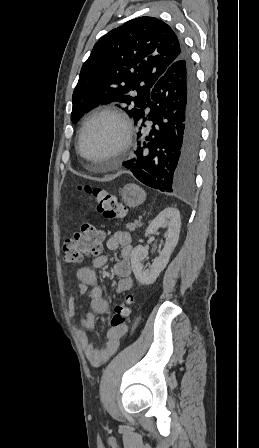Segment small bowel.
I'll return each instance as SVG.
<instances>
[{
	"instance_id": "1",
	"label": "small bowel",
	"mask_w": 259,
	"mask_h": 448,
	"mask_svg": "<svg viewBox=\"0 0 259 448\" xmlns=\"http://www.w3.org/2000/svg\"><path fill=\"white\" fill-rule=\"evenodd\" d=\"M107 252L99 254L92 265L84 266L77 270L78 284L75 288L77 295L88 294L90 298V311L81 318L83 330H77L81 346L91 365L98 367L109 360L118 350L120 339L126 333L127 326L118 328L110 327L106 333V341L103 347H97L90 343L86 331L95 328V315L105 314L109 311V303L104 295V289L99 281L97 269L108 261V252L120 248V258L112 268L113 275L117 278L114 290L117 293L129 291L132 287L131 279V256L133 251L132 237L126 231H118L110 236L105 242ZM101 251V246L99 251ZM68 314L71 318L75 316V296L68 301Z\"/></svg>"
}]
</instances>
